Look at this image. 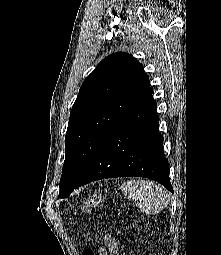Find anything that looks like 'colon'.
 Wrapping results in <instances>:
<instances>
[{
    "label": "colon",
    "instance_id": "5ec220e1",
    "mask_svg": "<svg viewBox=\"0 0 221 255\" xmlns=\"http://www.w3.org/2000/svg\"><path fill=\"white\" fill-rule=\"evenodd\" d=\"M103 203V197L100 194L91 195L85 198L80 205L74 208L75 213H87L92 209L100 206ZM82 255H95V252L92 249H85L82 252Z\"/></svg>",
    "mask_w": 221,
    "mask_h": 255
}]
</instances>
